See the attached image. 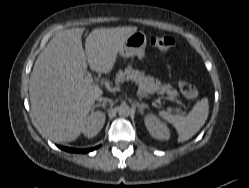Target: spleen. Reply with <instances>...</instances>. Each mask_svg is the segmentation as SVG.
<instances>
[{"label": "spleen", "instance_id": "3e777b00", "mask_svg": "<svg viewBox=\"0 0 249 188\" xmlns=\"http://www.w3.org/2000/svg\"><path fill=\"white\" fill-rule=\"evenodd\" d=\"M208 99L197 102L187 116H174L166 111L159 112L164 120L173 124L178 131V142H184L194 136L205 124L208 117Z\"/></svg>", "mask_w": 249, "mask_h": 188}]
</instances>
